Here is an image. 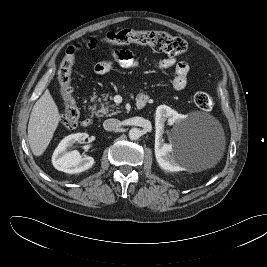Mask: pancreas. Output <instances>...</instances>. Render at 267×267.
<instances>
[{
    "mask_svg": "<svg viewBox=\"0 0 267 267\" xmlns=\"http://www.w3.org/2000/svg\"><path fill=\"white\" fill-rule=\"evenodd\" d=\"M109 97V94H102V98H98V106L97 104H94L91 106L92 113L95 114L97 117H103V116H112L119 113L118 110H116V105L111 104L107 102ZM99 107V109H97Z\"/></svg>",
    "mask_w": 267,
    "mask_h": 267,
    "instance_id": "obj_1",
    "label": "pancreas"
}]
</instances>
